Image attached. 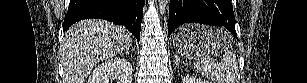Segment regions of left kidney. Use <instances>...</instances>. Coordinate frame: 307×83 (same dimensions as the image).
<instances>
[{"instance_id": "5707ae66", "label": "left kidney", "mask_w": 307, "mask_h": 83, "mask_svg": "<svg viewBox=\"0 0 307 83\" xmlns=\"http://www.w3.org/2000/svg\"><path fill=\"white\" fill-rule=\"evenodd\" d=\"M182 83H211L210 81L203 80L201 78H197L196 76H185L182 78Z\"/></svg>"}]
</instances>
